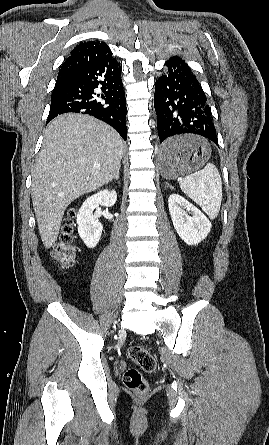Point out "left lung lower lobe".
Segmentation results:
<instances>
[{
  "label": "left lung lower lobe",
  "mask_w": 269,
  "mask_h": 445,
  "mask_svg": "<svg viewBox=\"0 0 269 445\" xmlns=\"http://www.w3.org/2000/svg\"><path fill=\"white\" fill-rule=\"evenodd\" d=\"M167 71L155 82L154 107L161 149L166 156L178 153L182 146L171 138L194 134L218 145L211 108L204 91L181 58L166 63Z\"/></svg>",
  "instance_id": "left-lung-lower-lobe-1"
}]
</instances>
